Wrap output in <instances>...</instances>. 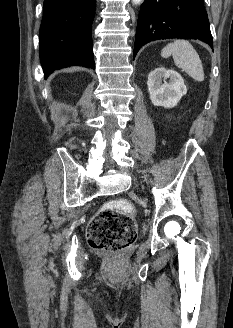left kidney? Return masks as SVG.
<instances>
[{
  "mask_svg": "<svg viewBox=\"0 0 233 328\" xmlns=\"http://www.w3.org/2000/svg\"><path fill=\"white\" fill-rule=\"evenodd\" d=\"M168 78L169 83L166 81ZM147 86L152 104L164 108L175 107L187 93L181 75L164 67H158L148 74Z\"/></svg>",
  "mask_w": 233,
  "mask_h": 328,
  "instance_id": "left-kidney-1",
  "label": "left kidney"
}]
</instances>
